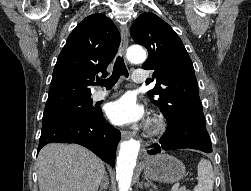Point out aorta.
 <instances>
[{
	"label": "aorta",
	"instance_id": "762f6f07",
	"mask_svg": "<svg viewBox=\"0 0 251 191\" xmlns=\"http://www.w3.org/2000/svg\"><path fill=\"white\" fill-rule=\"evenodd\" d=\"M126 58L134 64H142L147 58V54L141 46H130L126 50ZM140 141L129 139L122 141L119 155L117 157L116 177L119 185V191H129L133 169L136 165Z\"/></svg>",
	"mask_w": 251,
	"mask_h": 191
}]
</instances>
